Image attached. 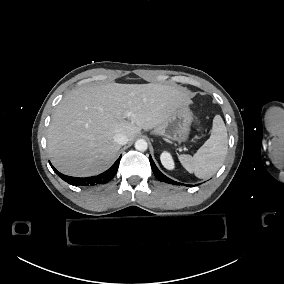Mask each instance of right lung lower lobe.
<instances>
[{"mask_svg":"<svg viewBox=\"0 0 284 284\" xmlns=\"http://www.w3.org/2000/svg\"><path fill=\"white\" fill-rule=\"evenodd\" d=\"M120 159H121V156L119 157V159L116 160V162L112 165V167L109 168L107 171L101 173L100 175L93 176V177H87V178H78V177L66 176V175L58 172L51 165V163H50V165L57 175H59L64 181H66L67 183H69L71 185L93 186V185L105 184V183L109 182L117 173Z\"/></svg>","mask_w":284,"mask_h":284,"instance_id":"obj_1","label":"right lung lower lobe"}]
</instances>
